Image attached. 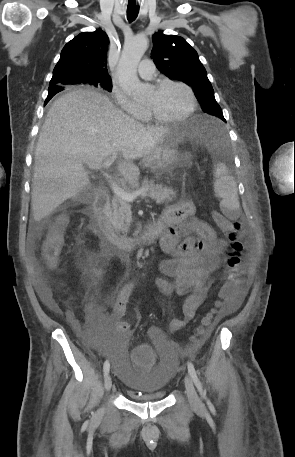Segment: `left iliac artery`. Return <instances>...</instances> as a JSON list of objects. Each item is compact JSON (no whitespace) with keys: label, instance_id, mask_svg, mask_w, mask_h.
<instances>
[{"label":"left iliac artery","instance_id":"1","mask_svg":"<svg viewBox=\"0 0 295 457\" xmlns=\"http://www.w3.org/2000/svg\"><path fill=\"white\" fill-rule=\"evenodd\" d=\"M187 366H188V372H189L194 384L196 385L201 397L206 400L207 399L206 393L203 390L202 383L200 382V380H199V378L197 376V373H196V370L194 368V365L191 362H188Z\"/></svg>","mask_w":295,"mask_h":457}]
</instances>
